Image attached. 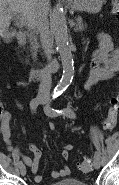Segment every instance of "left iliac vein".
<instances>
[{"mask_svg": "<svg viewBox=\"0 0 119 185\" xmlns=\"http://www.w3.org/2000/svg\"><path fill=\"white\" fill-rule=\"evenodd\" d=\"M93 165L96 169H98L100 167V157L98 156H95L94 157V162H93Z\"/></svg>", "mask_w": 119, "mask_h": 185, "instance_id": "1", "label": "left iliac vein"}]
</instances>
